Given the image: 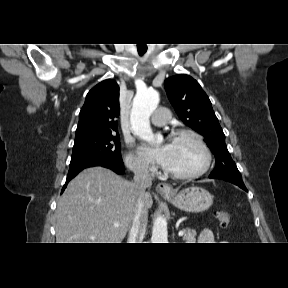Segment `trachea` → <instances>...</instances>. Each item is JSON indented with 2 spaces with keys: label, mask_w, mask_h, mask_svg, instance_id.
I'll list each match as a JSON object with an SVG mask.
<instances>
[{
  "label": "trachea",
  "mask_w": 288,
  "mask_h": 288,
  "mask_svg": "<svg viewBox=\"0 0 288 288\" xmlns=\"http://www.w3.org/2000/svg\"><path fill=\"white\" fill-rule=\"evenodd\" d=\"M146 51H147V48H143V49L138 48V54L140 56H143L146 53Z\"/></svg>",
  "instance_id": "1"
}]
</instances>
